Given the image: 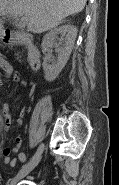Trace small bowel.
I'll use <instances>...</instances> for the list:
<instances>
[{
	"mask_svg": "<svg viewBox=\"0 0 119 185\" xmlns=\"http://www.w3.org/2000/svg\"><path fill=\"white\" fill-rule=\"evenodd\" d=\"M0 68L4 72L7 78H11L14 82L21 85H25L26 82L21 78L19 73H14L12 64L4 59H0ZM2 83V82H1ZM3 117H4V128L9 130L12 126L13 119L10 113V107L8 104H4L2 108ZM24 122V109H22L16 118V123L22 125ZM22 139L21 137H16L15 146L12 149L6 148L3 150L4 163L8 166L15 167L17 159L21 162L26 161L27 157L24 152L21 151ZM13 154H16V157H13Z\"/></svg>",
	"mask_w": 119,
	"mask_h": 185,
	"instance_id": "small-bowel-1",
	"label": "small bowel"
}]
</instances>
